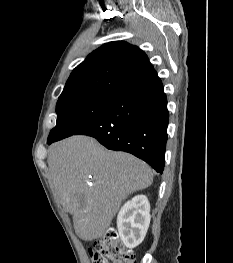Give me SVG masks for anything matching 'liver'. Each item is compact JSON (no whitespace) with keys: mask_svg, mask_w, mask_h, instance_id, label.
<instances>
[{"mask_svg":"<svg viewBox=\"0 0 233 263\" xmlns=\"http://www.w3.org/2000/svg\"><path fill=\"white\" fill-rule=\"evenodd\" d=\"M50 178L76 234L85 241L101 238L122 201L153 181L151 168L124 152L106 150L94 138L72 136L51 146Z\"/></svg>","mask_w":233,"mask_h":263,"instance_id":"6515ba94","label":"liver"}]
</instances>
